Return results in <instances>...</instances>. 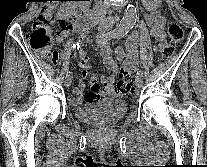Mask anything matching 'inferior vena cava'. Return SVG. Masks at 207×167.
<instances>
[{"mask_svg": "<svg viewBox=\"0 0 207 167\" xmlns=\"http://www.w3.org/2000/svg\"><path fill=\"white\" fill-rule=\"evenodd\" d=\"M96 8L99 13L106 15L109 6L107 2L104 0V2H98Z\"/></svg>", "mask_w": 207, "mask_h": 167, "instance_id": "1", "label": "inferior vena cava"}]
</instances>
